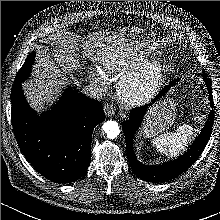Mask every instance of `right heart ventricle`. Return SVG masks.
Segmentation results:
<instances>
[{"label": "right heart ventricle", "instance_id": "obj_1", "mask_svg": "<svg viewBox=\"0 0 220 220\" xmlns=\"http://www.w3.org/2000/svg\"><path fill=\"white\" fill-rule=\"evenodd\" d=\"M144 61L143 56H114L103 62L101 70L115 77L124 76L137 69Z\"/></svg>", "mask_w": 220, "mask_h": 220}]
</instances>
